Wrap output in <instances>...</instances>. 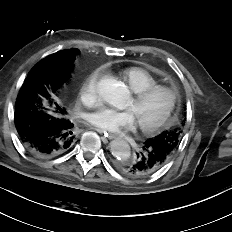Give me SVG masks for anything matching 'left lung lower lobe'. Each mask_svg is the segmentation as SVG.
Instances as JSON below:
<instances>
[{
    "instance_id": "1",
    "label": "left lung lower lobe",
    "mask_w": 232,
    "mask_h": 232,
    "mask_svg": "<svg viewBox=\"0 0 232 232\" xmlns=\"http://www.w3.org/2000/svg\"><path fill=\"white\" fill-rule=\"evenodd\" d=\"M171 152L163 145L146 140L132 162L120 165L125 174L132 177L151 175L160 170L171 158Z\"/></svg>"
}]
</instances>
